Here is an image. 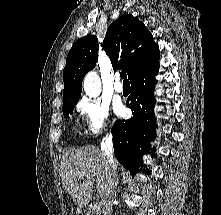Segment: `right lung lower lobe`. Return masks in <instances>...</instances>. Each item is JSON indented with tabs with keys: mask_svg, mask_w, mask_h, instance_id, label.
Instances as JSON below:
<instances>
[{
	"mask_svg": "<svg viewBox=\"0 0 221 215\" xmlns=\"http://www.w3.org/2000/svg\"><path fill=\"white\" fill-rule=\"evenodd\" d=\"M158 68L157 59L130 79L132 93L127 105L133 116L129 120H117L112 127L114 153L133 175L141 170L142 156L148 153L149 142L156 136L153 92Z\"/></svg>",
	"mask_w": 221,
	"mask_h": 215,
	"instance_id": "right-lung-lower-lobe-1",
	"label": "right lung lower lobe"
}]
</instances>
